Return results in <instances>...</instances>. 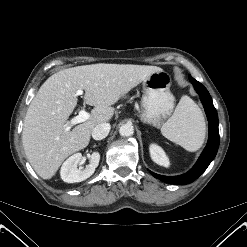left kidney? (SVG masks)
<instances>
[{
	"label": "left kidney",
	"instance_id": "1",
	"mask_svg": "<svg viewBox=\"0 0 247 247\" xmlns=\"http://www.w3.org/2000/svg\"><path fill=\"white\" fill-rule=\"evenodd\" d=\"M149 151H150V156L155 163L164 167L169 166V159L166 156L164 150L160 146L156 144H151L149 147Z\"/></svg>",
	"mask_w": 247,
	"mask_h": 247
}]
</instances>
